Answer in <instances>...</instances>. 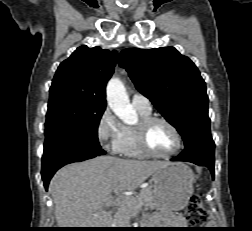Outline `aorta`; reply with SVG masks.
Returning a JSON list of instances; mask_svg holds the SVG:
<instances>
[{
    "label": "aorta",
    "mask_w": 252,
    "mask_h": 231,
    "mask_svg": "<svg viewBox=\"0 0 252 231\" xmlns=\"http://www.w3.org/2000/svg\"><path fill=\"white\" fill-rule=\"evenodd\" d=\"M106 93L108 106L124 123L132 124L137 120V113L120 79L112 78L107 84Z\"/></svg>",
    "instance_id": "762f6f07"
}]
</instances>
